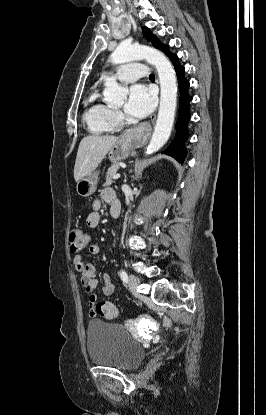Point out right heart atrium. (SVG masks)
I'll return each instance as SVG.
<instances>
[{
    "mask_svg": "<svg viewBox=\"0 0 266 415\" xmlns=\"http://www.w3.org/2000/svg\"><path fill=\"white\" fill-rule=\"evenodd\" d=\"M110 119H111L114 127L117 126L121 122V120H122V114H121V112L118 111V110L113 109L111 111Z\"/></svg>",
    "mask_w": 266,
    "mask_h": 415,
    "instance_id": "d8ad5b80",
    "label": "right heart atrium"
}]
</instances>
